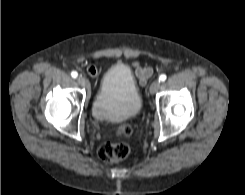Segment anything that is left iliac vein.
Segmentation results:
<instances>
[{"label": "left iliac vein", "mask_w": 245, "mask_h": 195, "mask_svg": "<svg viewBox=\"0 0 245 195\" xmlns=\"http://www.w3.org/2000/svg\"><path fill=\"white\" fill-rule=\"evenodd\" d=\"M160 85H161L160 81L155 80L150 86V93L151 94L156 93L159 90Z\"/></svg>", "instance_id": "left-iliac-vein-1"}]
</instances>
